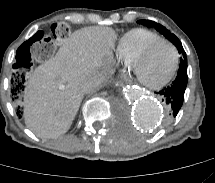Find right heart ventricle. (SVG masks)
<instances>
[{"label":"right heart ventricle","mask_w":215,"mask_h":183,"mask_svg":"<svg viewBox=\"0 0 215 183\" xmlns=\"http://www.w3.org/2000/svg\"><path fill=\"white\" fill-rule=\"evenodd\" d=\"M161 36L150 30L135 28L125 33L119 40L117 53L120 60L130 67L137 55L150 43Z\"/></svg>","instance_id":"right-heart-ventricle-1"}]
</instances>
